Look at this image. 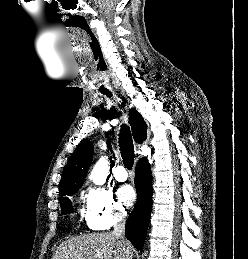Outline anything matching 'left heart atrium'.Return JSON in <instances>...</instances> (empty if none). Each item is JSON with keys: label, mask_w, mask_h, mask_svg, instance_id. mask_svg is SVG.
I'll return each mask as SVG.
<instances>
[{"label": "left heart atrium", "mask_w": 248, "mask_h": 259, "mask_svg": "<svg viewBox=\"0 0 248 259\" xmlns=\"http://www.w3.org/2000/svg\"><path fill=\"white\" fill-rule=\"evenodd\" d=\"M118 199L126 206H132L136 201V193L130 185H122L117 190Z\"/></svg>", "instance_id": "1"}]
</instances>
